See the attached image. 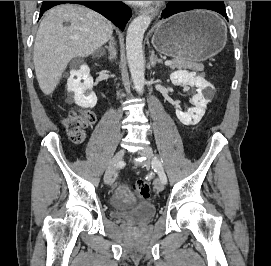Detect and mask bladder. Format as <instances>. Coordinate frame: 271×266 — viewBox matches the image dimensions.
<instances>
[{
	"label": "bladder",
	"instance_id": "obj_1",
	"mask_svg": "<svg viewBox=\"0 0 271 266\" xmlns=\"http://www.w3.org/2000/svg\"><path fill=\"white\" fill-rule=\"evenodd\" d=\"M113 212L132 223H145L150 220L156 213V207L150 202H140L125 211L114 208Z\"/></svg>",
	"mask_w": 271,
	"mask_h": 266
}]
</instances>
